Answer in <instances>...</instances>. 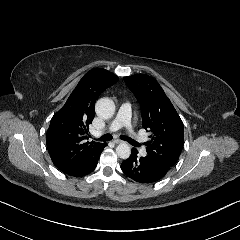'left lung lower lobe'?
I'll list each match as a JSON object with an SVG mask.
<instances>
[{
    "mask_svg": "<svg viewBox=\"0 0 240 240\" xmlns=\"http://www.w3.org/2000/svg\"><path fill=\"white\" fill-rule=\"evenodd\" d=\"M121 168L127 177L144 184L157 182L170 170L149 156L139 157L135 148L132 149L131 156L122 162Z\"/></svg>",
    "mask_w": 240,
    "mask_h": 240,
    "instance_id": "1",
    "label": "left lung lower lobe"
}]
</instances>
